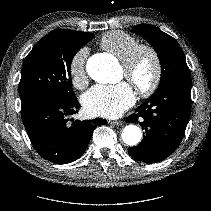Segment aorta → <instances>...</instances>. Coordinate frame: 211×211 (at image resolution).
<instances>
[{"label": "aorta", "instance_id": "aorta-1", "mask_svg": "<svg viewBox=\"0 0 211 211\" xmlns=\"http://www.w3.org/2000/svg\"><path fill=\"white\" fill-rule=\"evenodd\" d=\"M87 72L90 77L98 83L116 82L118 76L115 66L102 56H93L87 62ZM142 138V132L136 125H128L122 131V140L129 146L137 145Z\"/></svg>", "mask_w": 211, "mask_h": 211}]
</instances>
